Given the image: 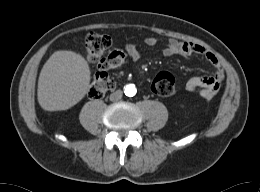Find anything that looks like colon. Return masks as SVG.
<instances>
[{
	"instance_id": "colon-1",
	"label": "colon",
	"mask_w": 260,
	"mask_h": 192,
	"mask_svg": "<svg viewBox=\"0 0 260 192\" xmlns=\"http://www.w3.org/2000/svg\"><path fill=\"white\" fill-rule=\"evenodd\" d=\"M110 46L111 39L104 34L92 32L85 40L86 56L91 62L97 63L99 69L88 93L89 97L94 100L102 98L106 92L114 88V81L108 72L119 70L125 64V56L120 51H112L105 55ZM151 89L158 96H172L176 92L175 78L169 72H160L153 79Z\"/></svg>"
}]
</instances>
